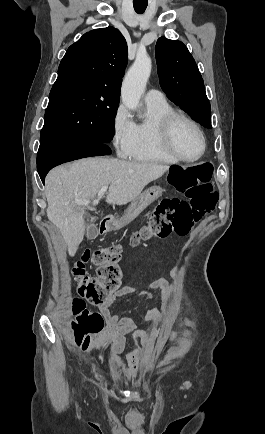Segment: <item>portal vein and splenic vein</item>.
<instances>
[{"label":"portal vein and splenic vein","mask_w":265,"mask_h":434,"mask_svg":"<svg viewBox=\"0 0 265 434\" xmlns=\"http://www.w3.org/2000/svg\"><path fill=\"white\" fill-rule=\"evenodd\" d=\"M107 190H108V186H103V188H101L100 192H98V198L97 200H93L92 206H97V204H99L101 198H103ZM74 204H79V206H89L90 202L89 200H75ZM65 206H67V204H65Z\"/></svg>","instance_id":"obj_1"}]
</instances>
